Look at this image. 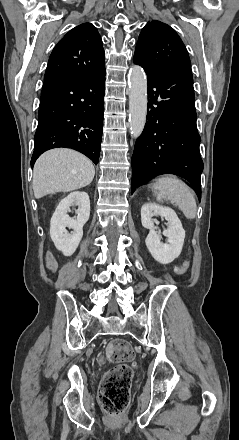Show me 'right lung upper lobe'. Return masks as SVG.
I'll use <instances>...</instances> for the list:
<instances>
[{
	"label": "right lung upper lobe",
	"mask_w": 239,
	"mask_h": 440,
	"mask_svg": "<svg viewBox=\"0 0 239 440\" xmlns=\"http://www.w3.org/2000/svg\"><path fill=\"white\" fill-rule=\"evenodd\" d=\"M100 35L91 23L70 30L53 49L45 80L88 77L105 69Z\"/></svg>",
	"instance_id": "1"
}]
</instances>
